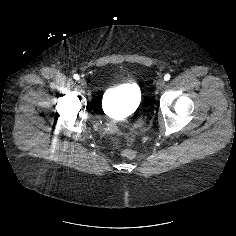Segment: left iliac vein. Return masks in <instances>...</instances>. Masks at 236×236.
Masks as SVG:
<instances>
[{
  "mask_svg": "<svg viewBox=\"0 0 236 236\" xmlns=\"http://www.w3.org/2000/svg\"><path fill=\"white\" fill-rule=\"evenodd\" d=\"M165 86V80L164 79H159L156 83V87L158 90H161Z\"/></svg>",
  "mask_w": 236,
  "mask_h": 236,
  "instance_id": "4c4485c4",
  "label": "left iliac vein"
}]
</instances>
